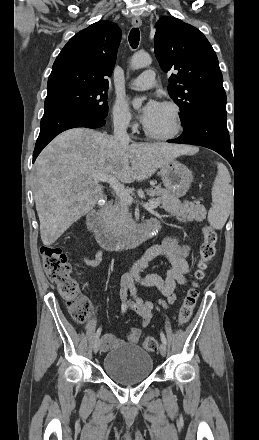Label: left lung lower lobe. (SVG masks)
I'll use <instances>...</instances> for the list:
<instances>
[{
  "label": "left lung lower lobe",
  "instance_id": "obj_1",
  "mask_svg": "<svg viewBox=\"0 0 259 440\" xmlns=\"http://www.w3.org/2000/svg\"><path fill=\"white\" fill-rule=\"evenodd\" d=\"M226 119V112L204 110L195 115L188 125L184 126V132L181 136L169 142L199 145L212 149L232 165L233 155Z\"/></svg>",
  "mask_w": 259,
  "mask_h": 440
}]
</instances>
